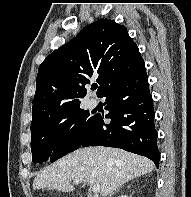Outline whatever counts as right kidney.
Segmentation results:
<instances>
[{
	"label": "right kidney",
	"mask_w": 191,
	"mask_h": 197,
	"mask_svg": "<svg viewBox=\"0 0 191 197\" xmlns=\"http://www.w3.org/2000/svg\"><path fill=\"white\" fill-rule=\"evenodd\" d=\"M119 197H129V196H127V195H121V196H119Z\"/></svg>",
	"instance_id": "1"
}]
</instances>
